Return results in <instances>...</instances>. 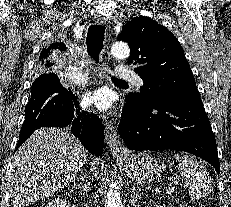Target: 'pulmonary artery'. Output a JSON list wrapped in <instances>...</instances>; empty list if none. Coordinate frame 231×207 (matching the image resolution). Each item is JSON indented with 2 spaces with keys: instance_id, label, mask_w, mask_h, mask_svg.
Wrapping results in <instances>:
<instances>
[{
  "instance_id": "e3ab8cb5",
  "label": "pulmonary artery",
  "mask_w": 231,
  "mask_h": 207,
  "mask_svg": "<svg viewBox=\"0 0 231 207\" xmlns=\"http://www.w3.org/2000/svg\"><path fill=\"white\" fill-rule=\"evenodd\" d=\"M116 76L119 79L131 82L137 87H141L143 85V80L141 79V77L138 74H136L133 70L125 66L117 67ZM70 78L76 84H82L87 80V76L77 72L76 68L71 69Z\"/></svg>"
}]
</instances>
